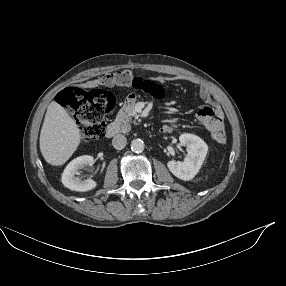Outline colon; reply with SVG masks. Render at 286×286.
I'll return each instance as SVG.
<instances>
[{
	"label": "colon",
	"mask_w": 286,
	"mask_h": 286,
	"mask_svg": "<svg viewBox=\"0 0 286 286\" xmlns=\"http://www.w3.org/2000/svg\"><path fill=\"white\" fill-rule=\"evenodd\" d=\"M113 73L105 76L109 79ZM136 88H142L152 96L161 93L157 84L136 81ZM58 103L70 111L80 128L82 140L90 143L102 137L106 125V116L113 111L116 105L115 98L109 92L95 89L84 91L77 87H70L58 95ZM207 137L220 144L226 141V126L219 121L211 122L206 129Z\"/></svg>",
	"instance_id": "obj_1"
}]
</instances>
